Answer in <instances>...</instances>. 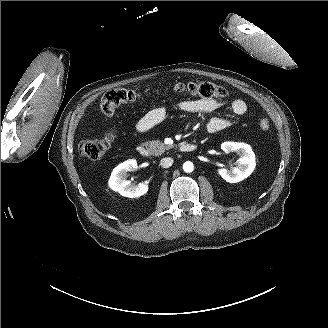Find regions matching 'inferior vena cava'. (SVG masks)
<instances>
[{
	"label": "inferior vena cava",
	"instance_id": "obj_1",
	"mask_svg": "<svg viewBox=\"0 0 328 328\" xmlns=\"http://www.w3.org/2000/svg\"><path fill=\"white\" fill-rule=\"evenodd\" d=\"M172 164H173V158L171 157L162 158L160 161V165L163 168H169Z\"/></svg>",
	"mask_w": 328,
	"mask_h": 328
}]
</instances>
